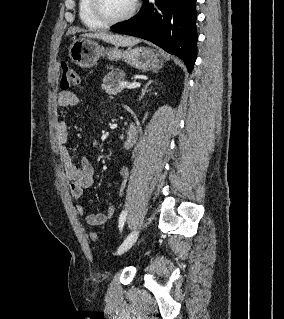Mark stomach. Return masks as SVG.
Masks as SVG:
<instances>
[{"label": "stomach", "mask_w": 284, "mask_h": 319, "mask_svg": "<svg viewBox=\"0 0 284 319\" xmlns=\"http://www.w3.org/2000/svg\"><path fill=\"white\" fill-rule=\"evenodd\" d=\"M110 60H124L127 64L142 71H155L162 67L161 54L148 47L120 49L119 46L104 48L91 38L82 37L73 41L69 47V57L78 66L92 67L100 57Z\"/></svg>", "instance_id": "obj_1"}]
</instances>
